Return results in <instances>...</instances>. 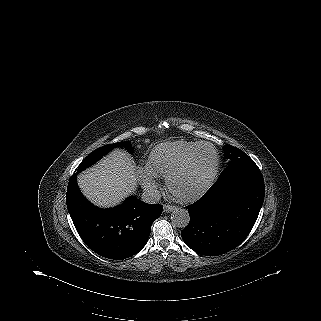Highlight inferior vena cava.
Segmentation results:
<instances>
[{"mask_svg": "<svg viewBox=\"0 0 321 321\" xmlns=\"http://www.w3.org/2000/svg\"><path fill=\"white\" fill-rule=\"evenodd\" d=\"M142 201L145 203L155 204L158 203L161 199L160 192L153 187H146L142 193Z\"/></svg>", "mask_w": 321, "mask_h": 321, "instance_id": "inferior-vena-cava-1", "label": "inferior vena cava"}]
</instances>
